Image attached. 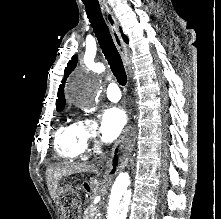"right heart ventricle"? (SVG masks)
I'll list each match as a JSON object with an SVG mask.
<instances>
[{
	"mask_svg": "<svg viewBox=\"0 0 221 219\" xmlns=\"http://www.w3.org/2000/svg\"><path fill=\"white\" fill-rule=\"evenodd\" d=\"M54 146L57 154L65 160H75L85 152L77 121L65 124L56 132Z\"/></svg>",
	"mask_w": 221,
	"mask_h": 219,
	"instance_id": "obj_1",
	"label": "right heart ventricle"
}]
</instances>
